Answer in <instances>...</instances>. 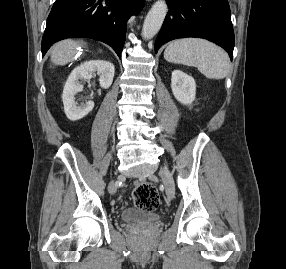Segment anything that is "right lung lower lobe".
I'll use <instances>...</instances> for the list:
<instances>
[{
	"mask_svg": "<svg viewBox=\"0 0 286 269\" xmlns=\"http://www.w3.org/2000/svg\"><path fill=\"white\" fill-rule=\"evenodd\" d=\"M56 0L48 16L42 38V56L55 42L87 37L110 45L121 55L126 23L138 14L144 0Z\"/></svg>",
	"mask_w": 286,
	"mask_h": 269,
	"instance_id": "1",
	"label": "right lung lower lobe"
}]
</instances>
